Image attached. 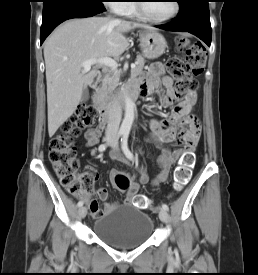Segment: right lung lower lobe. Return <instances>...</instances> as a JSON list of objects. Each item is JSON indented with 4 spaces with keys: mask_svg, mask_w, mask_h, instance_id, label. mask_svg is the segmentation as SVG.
Wrapping results in <instances>:
<instances>
[{
    "mask_svg": "<svg viewBox=\"0 0 258 275\" xmlns=\"http://www.w3.org/2000/svg\"><path fill=\"white\" fill-rule=\"evenodd\" d=\"M104 10L102 1L98 0H44L41 44L63 21L72 18L91 17Z\"/></svg>",
    "mask_w": 258,
    "mask_h": 275,
    "instance_id": "obj_1",
    "label": "right lung lower lobe"
}]
</instances>
